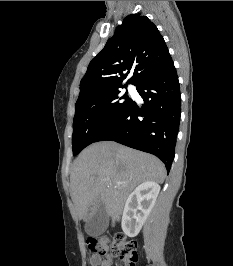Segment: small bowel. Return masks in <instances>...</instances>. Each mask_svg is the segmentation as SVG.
I'll return each instance as SVG.
<instances>
[{"instance_id":"1","label":"small bowel","mask_w":233,"mask_h":266,"mask_svg":"<svg viewBox=\"0 0 233 266\" xmlns=\"http://www.w3.org/2000/svg\"><path fill=\"white\" fill-rule=\"evenodd\" d=\"M90 264L92 266H106L104 265V263L101 261V258L99 255L97 254H92V256L90 257Z\"/></svg>"}]
</instances>
